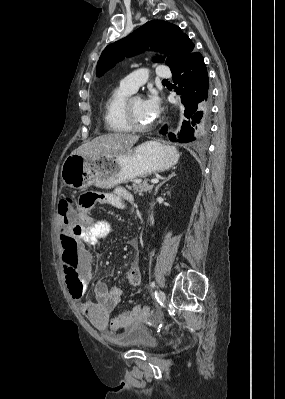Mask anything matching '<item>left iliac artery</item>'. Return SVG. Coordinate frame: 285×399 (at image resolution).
<instances>
[{
    "label": "left iliac artery",
    "instance_id": "left-iliac-artery-1",
    "mask_svg": "<svg viewBox=\"0 0 285 399\" xmlns=\"http://www.w3.org/2000/svg\"><path fill=\"white\" fill-rule=\"evenodd\" d=\"M150 285H151V287H152V288H154V287H155V282H154V281H153V282H151V284H150Z\"/></svg>",
    "mask_w": 285,
    "mask_h": 399
}]
</instances>
